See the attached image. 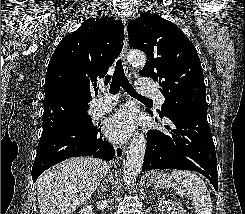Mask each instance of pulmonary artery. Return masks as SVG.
Returning <instances> with one entry per match:
<instances>
[{"mask_svg":"<svg viewBox=\"0 0 245 214\" xmlns=\"http://www.w3.org/2000/svg\"><path fill=\"white\" fill-rule=\"evenodd\" d=\"M137 90L143 96L155 98L159 104L164 103V96L158 91L156 84L151 80L139 79L137 82ZM116 101V96L102 92L94 106L96 115L101 116L111 110L116 104Z\"/></svg>","mask_w":245,"mask_h":214,"instance_id":"1","label":"pulmonary artery"}]
</instances>
